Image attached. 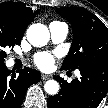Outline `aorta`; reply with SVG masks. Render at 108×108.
Here are the masks:
<instances>
[{
    "label": "aorta",
    "instance_id": "obj_1",
    "mask_svg": "<svg viewBox=\"0 0 108 108\" xmlns=\"http://www.w3.org/2000/svg\"><path fill=\"white\" fill-rule=\"evenodd\" d=\"M50 33L48 28L41 23L32 24L27 29V40L35 47H42L49 41ZM59 83L55 80H48L44 84L45 91L50 95H56L59 91Z\"/></svg>",
    "mask_w": 108,
    "mask_h": 108
}]
</instances>
